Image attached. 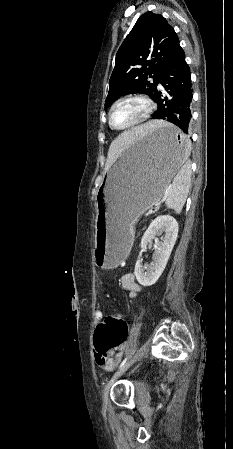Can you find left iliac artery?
<instances>
[{"label":"left iliac artery","instance_id":"left-iliac-artery-1","mask_svg":"<svg viewBox=\"0 0 233 449\" xmlns=\"http://www.w3.org/2000/svg\"><path fill=\"white\" fill-rule=\"evenodd\" d=\"M127 360H128V356L123 359V361L121 362L120 368L126 363Z\"/></svg>","mask_w":233,"mask_h":449}]
</instances>
